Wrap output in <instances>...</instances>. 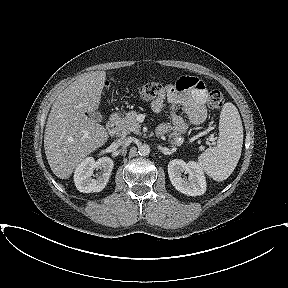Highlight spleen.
Returning <instances> with one entry per match:
<instances>
[{
    "mask_svg": "<svg viewBox=\"0 0 288 288\" xmlns=\"http://www.w3.org/2000/svg\"><path fill=\"white\" fill-rule=\"evenodd\" d=\"M243 127L238 109L225 103L219 120L217 146L198 157L199 166L215 181L227 179L234 171L242 151Z\"/></svg>",
    "mask_w": 288,
    "mask_h": 288,
    "instance_id": "obj_1",
    "label": "spleen"
}]
</instances>
